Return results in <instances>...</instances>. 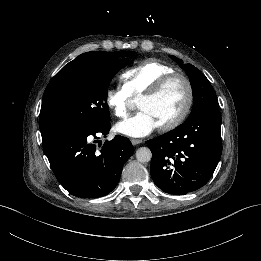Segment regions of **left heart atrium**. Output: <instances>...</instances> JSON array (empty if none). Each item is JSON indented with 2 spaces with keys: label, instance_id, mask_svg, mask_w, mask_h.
Returning <instances> with one entry per match:
<instances>
[{
  "label": "left heart atrium",
  "instance_id": "39dd6f15",
  "mask_svg": "<svg viewBox=\"0 0 261 261\" xmlns=\"http://www.w3.org/2000/svg\"><path fill=\"white\" fill-rule=\"evenodd\" d=\"M158 127V122L151 114L141 110L129 120L119 123L116 126V130L124 135L140 138L149 135Z\"/></svg>",
  "mask_w": 261,
  "mask_h": 261
}]
</instances>
